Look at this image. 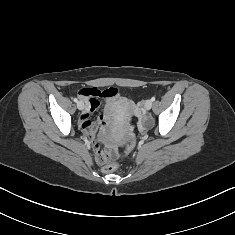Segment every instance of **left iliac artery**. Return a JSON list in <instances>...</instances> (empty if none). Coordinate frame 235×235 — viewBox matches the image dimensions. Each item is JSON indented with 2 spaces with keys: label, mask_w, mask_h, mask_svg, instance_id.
Listing matches in <instances>:
<instances>
[{
  "label": "left iliac artery",
  "mask_w": 235,
  "mask_h": 235,
  "mask_svg": "<svg viewBox=\"0 0 235 235\" xmlns=\"http://www.w3.org/2000/svg\"><path fill=\"white\" fill-rule=\"evenodd\" d=\"M155 99H156L155 97H152V98H151V101L153 102V101H155Z\"/></svg>",
  "instance_id": "obj_1"
}]
</instances>
